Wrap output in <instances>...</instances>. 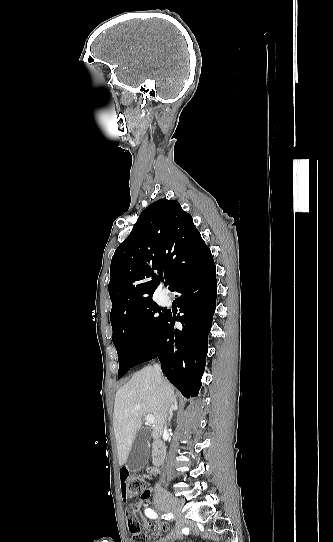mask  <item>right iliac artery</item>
<instances>
[{"label":"right iliac artery","instance_id":"right-iliac-artery-1","mask_svg":"<svg viewBox=\"0 0 333 542\" xmlns=\"http://www.w3.org/2000/svg\"><path fill=\"white\" fill-rule=\"evenodd\" d=\"M145 514H146V516L149 517V518H154V519L157 518V514H156L153 510H151V509H146V510H145ZM164 516H165V518H164ZM162 518H164V519H170V516H169V514H168V515H163Z\"/></svg>","mask_w":333,"mask_h":542}]
</instances>
